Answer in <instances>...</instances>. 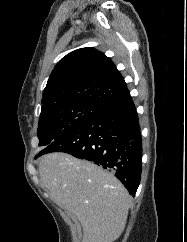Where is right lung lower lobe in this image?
<instances>
[{
	"label": "right lung lower lobe",
	"instance_id": "98d812e1",
	"mask_svg": "<svg viewBox=\"0 0 187 242\" xmlns=\"http://www.w3.org/2000/svg\"><path fill=\"white\" fill-rule=\"evenodd\" d=\"M66 152L111 171L135 195L142 171V140L130 94L105 105L74 130L58 138L37 156Z\"/></svg>",
	"mask_w": 187,
	"mask_h": 242
}]
</instances>
